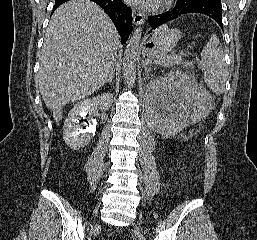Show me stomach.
I'll return each instance as SVG.
<instances>
[{"mask_svg": "<svg viewBox=\"0 0 257 240\" xmlns=\"http://www.w3.org/2000/svg\"><path fill=\"white\" fill-rule=\"evenodd\" d=\"M180 38L181 33L178 29L159 28L144 44V51L150 58L163 57L172 50Z\"/></svg>", "mask_w": 257, "mask_h": 240, "instance_id": "1", "label": "stomach"}]
</instances>
